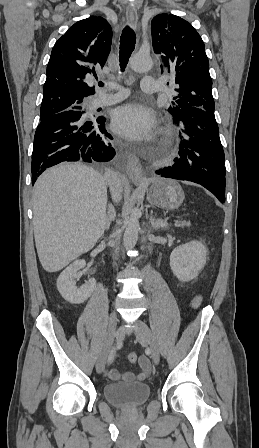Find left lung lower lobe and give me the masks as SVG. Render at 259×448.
<instances>
[{"label":"left lung lower lobe","mask_w":259,"mask_h":448,"mask_svg":"<svg viewBox=\"0 0 259 448\" xmlns=\"http://www.w3.org/2000/svg\"><path fill=\"white\" fill-rule=\"evenodd\" d=\"M174 122L183 127L186 135L179 144V157L172 166L159 169L156 174L198 183L224 203L225 156L214 111L190 108L182 111Z\"/></svg>","instance_id":"0a47b994"}]
</instances>
